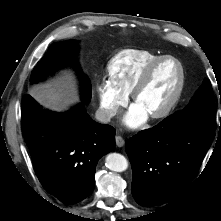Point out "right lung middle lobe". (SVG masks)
<instances>
[{
    "mask_svg": "<svg viewBox=\"0 0 221 221\" xmlns=\"http://www.w3.org/2000/svg\"><path fill=\"white\" fill-rule=\"evenodd\" d=\"M76 40H71L69 44L55 43L52 44L44 57L35 66L30 76L31 82H37L44 79L48 74H52L59 67L67 64L77 67L78 48ZM80 81L82 83L81 98L83 102L88 103L91 100L92 88L90 80L87 76L80 73Z\"/></svg>",
    "mask_w": 221,
    "mask_h": 221,
    "instance_id": "obj_1",
    "label": "right lung middle lobe"
}]
</instances>
